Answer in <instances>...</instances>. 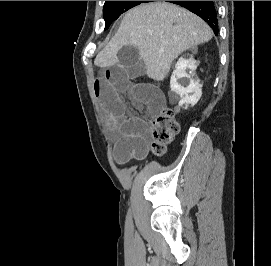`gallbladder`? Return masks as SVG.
I'll list each match as a JSON object with an SVG mask.
<instances>
[{
    "mask_svg": "<svg viewBox=\"0 0 271 266\" xmlns=\"http://www.w3.org/2000/svg\"><path fill=\"white\" fill-rule=\"evenodd\" d=\"M117 56L119 65L129 78L134 79L146 73L145 62L140 58L139 50L135 46H123Z\"/></svg>",
    "mask_w": 271,
    "mask_h": 266,
    "instance_id": "bac80fb5",
    "label": "gallbladder"
}]
</instances>
